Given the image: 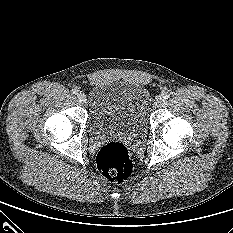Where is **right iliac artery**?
I'll use <instances>...</instances> for the list:
<instances>
[{
  "mask_svg": "<svg viewBox=\"0 0 233 233\" xmlns=\"http://www.w3.org/2000/svg\"><path fill=\"white\" fill-rule=\"evenodd\" d=\"M71 92H72V94H74V95L78 94V90H76V89H72Z\"/></svg>",
  "mask_w": 233,
  "mask_h": 233,
  "instance_id": "right-iliac-artery-1",
  "label": "right iliac artery"
}]
</instances>
